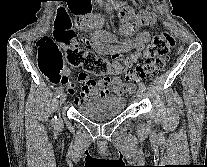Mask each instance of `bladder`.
<instances>
[{
    "label": "bladder",
    "instance_id": "1",
    "mask_svg": "<svg viewBox=\"0 0 207 167\" xmlns=\"http://www.w3.org/2000/svg\"><path fill=\"white\" fill-rule=\"evenodd\" d=\"M126 106L124 97L117 95L98 96L77 106L82 116L94 121H106L119 116Z\"/></svg>",
    "mask_w": 207,
    "mask_h": 167
}]
</instances>
